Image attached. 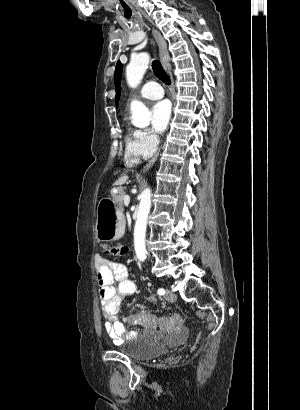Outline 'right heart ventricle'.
<instances>
[{
	"mask_svg": "<svg viewBox=\"0 0 300 410\" xmlns=\"http://www.w3.org/2000/svg\"><path fill=\"white\" fill-rule=\"evenodd\" d=\"M145 158L141 155L136 147L133 134L128 133L125 136V161L128 164H133L138 162L140 159Z\"/></svg>",
	"mask_w": 300,
	"mask_h": 410,
	"instance_id": "right-heart-ventricle-1",
	"label": "right heart ventricle"
}]
</instances>
